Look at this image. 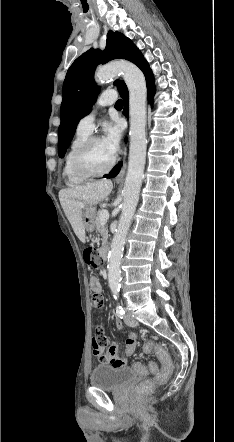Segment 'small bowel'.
Instances as JSON below:
<instances>
[{
    "mask_svg": "<svg viewBox=\"0 0 234 442\" xmlns=\"http://www.w3.org/2000/svg\"><path fill=\"white\" fill-rule=\"evenodd\" d=\"M96 289L101 293L102 286L101 283L97 280ZM116 326L118 329H122V323L120 320L116 321ZM105 328L103 323L98 322L94 327V338H93V354L98 356L100 361L103 363L101 367L103 369L110 370L114 366L116 369H119L121 366L127 365V357H129L135 349L136 338L135 336H131L126 341V348L124 350V355L119 356V341L116 340L110 344H108V338L104 334ZM96 343V344H95ZM145 353V352H144ZM148 354V353H147Z\"/></svg>",
    "mask_w": 234,
    "mask_h": 442,
    "instance_id": "c3829d8e",
    "label": "small bowel"
}]
</instances>
